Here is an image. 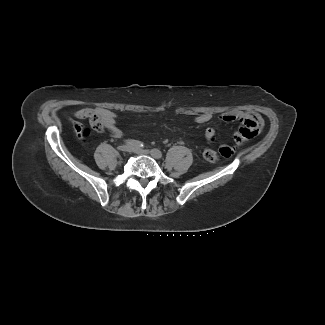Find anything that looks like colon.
<instances>
[{"mask_svg": "<svg viewBox=\"0 0 325 325\" xmlns=\"http://www.w3.org/2000/svg\"><path fill=\"white\" fill-rule=\"evenodd\" d=\"M91 133V129L89 128H85L84 129V134L85 135H89ZM203 157L206 161L210 162V163H216L218 161V155L217 153L212 150V149H205L203 151Z\"/></svg>", "mask_w": 325, "mask_h": 325, "instance_id": "obj_1", "label": "colon"}]
</instances>
